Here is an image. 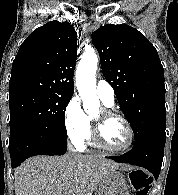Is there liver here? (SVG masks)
Masks as SVG:
<instances>
[{"label": "liver", "instance_id": "6515ba94", "mask_svg": "<svg viewBox=\"0 0 178 195\" xmlns=\"http://www.w3.org/2000/svg\"><path fill=\"white\" fill-rule=\"evenodd\" d=\"M113 168H123L98 155L35 156L15 170L16 195H92Z\"/></svg>", "mask_w": 178, "mask_h": 195}]
</instances>
